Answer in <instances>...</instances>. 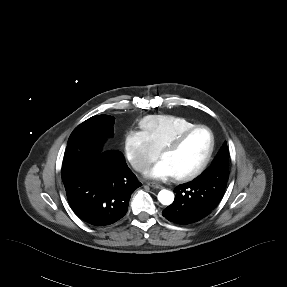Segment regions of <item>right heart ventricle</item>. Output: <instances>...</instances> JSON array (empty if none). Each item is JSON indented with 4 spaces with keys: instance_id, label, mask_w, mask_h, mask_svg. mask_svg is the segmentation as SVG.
<instances>
[{
    "instance_id": "right-heart-ventricle-1",
    "label": "right heart ventricle",
    "mask_w": 287,
    "mask_h": 287,
    "mask_svg": "<svg viewBox=\"0 0 287 287\" xmlns=\"http://www.w3.org/2000/svg\"><path fill=\"white\" fill-rule=\"evenodd\" d=\"M195 125L184 116L171 114L148 115L140 121L143 133L157 151L181 132Z\"/></svg>"
}]
</instances>
